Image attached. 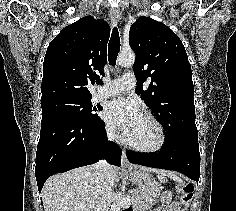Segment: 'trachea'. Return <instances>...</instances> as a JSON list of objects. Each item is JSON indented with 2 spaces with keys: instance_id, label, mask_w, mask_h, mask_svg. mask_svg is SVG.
<instances>
[{
  "instance_id": "obj_1",
  "label": "trachea",
  "mask_w": 236,
  "mask_h": 211,
  "mask_svg": "<svg viewBox=\"0 0 236 211\" xmlns=\"http://www.w3.org/2000/svg\"><path fill=\"white\" fill-rule=\"evenodd\" d=\"M120 37L117 27H114L112 30L111 38L108 45V61L109 64L114 66L118 53L120 51Z\"/></svg>"
}]
</instances>
